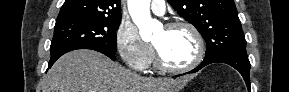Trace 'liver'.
<instances>
[{
  "instance_id": "1",
  "label": "liver",
  "mask_w": 289,
  "mask_h": 92,
  "mask_svg": "<svg viewBox=\"0 0 289 92\" xmlns=\"http://www.w3.org/2000/svg\"><path fill=\"white\" fill-rule=\"evenodd\" d=\"M184 79L142 77L88 49L60 57L43 79V92H177Z\"/></svg>"
}]
</instances>
